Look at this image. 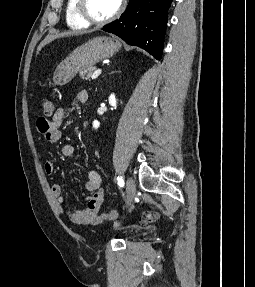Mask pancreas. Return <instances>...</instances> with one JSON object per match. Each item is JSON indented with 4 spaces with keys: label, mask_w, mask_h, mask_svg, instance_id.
<instances>
[{
    "label": "pancreas",
    "mask_w": 255,
    "mask_h": 287,
    "mask_svg": "<svg viewBox=\"0 0 255 287\" xmlns=\"http://www.w3.org/2000/svg\"><path fill=\"white\" fill-rule=\"evenodd\" d=\"M95 70H96L95 66H91V68H85L83 72H80V78H82V80H88L92 72H95Z\"/></svg>",
    "instance_id": "pancreas-1"
}]
</instances>
